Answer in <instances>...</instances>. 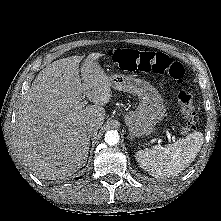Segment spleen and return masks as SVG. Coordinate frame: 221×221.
<instances>
[{
  "instance_id": "1",
  "label": "spleen",
  "mask_w": 221,
  "mask_h": 221,
  "mask_svg": "<svg viewBox=\"0 0 221 221\" xmlns=\"http://www.w3.org/2000/svg\"><path fill=\"white\" fill-rule=\"evenodd\" d=\"M203 140L201 132H193L165 147L139 150L136 160L141 168L156 178L176 176L194 161Z\"/></svg>"
}]
</instances>
